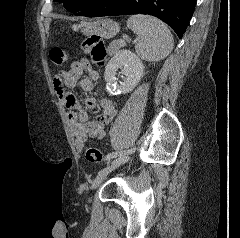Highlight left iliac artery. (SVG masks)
I'll use <instances>...</instances> for the list:
<instances>
[{"mask_svg":"<svg viewBox=\"0 0 240 238\" xmlns=\"http://www.w3.org/2000/svg\"><path fill=\"white\" fill-rule=\"evenodd\" d=\"M136 142H137V139L136 138H133L132 139V142H131V147H136ZM131 149L129 148L127 151L129 152ZM112 152V153H109L107 156H106V159H110V158H116V157H121L123 154H127L128 152Z\"/></svg>","mask_w":240,"mask_h":238,"instance_id":"1","label":"left iliac artery"}]
</instances>
